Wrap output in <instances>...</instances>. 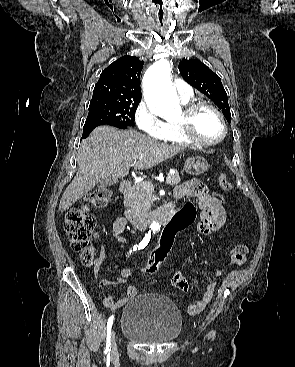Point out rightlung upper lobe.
Here are the masks:
<instances>
[{"label":"right lung upper lobe","mask_w":295,"mask_h":367,"mask_svg":"<svg viewBox=\"0 0 295 367\" xmlns=\"http://www.w3.org/2000/svg\"><path fill=\"white\" fill-rule=\"evenodd\" d=\"M143 61L135 56H124L102 71L93 95H109L140 100V73Z\"/></svg>","instance_id":"right-lung-upper-lobe-1"}]
</instances>
